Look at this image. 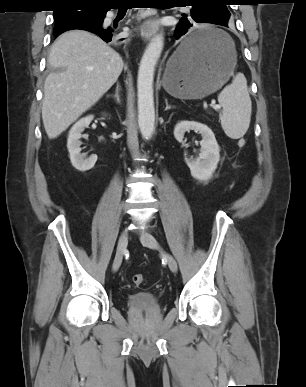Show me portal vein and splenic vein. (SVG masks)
Returning a JSON list of instances; mask_svg holds the SVG:
<instances>
[{"mask_svg": "<svg viewBox=\"0 0 306 387\" xmlns=\"http://www.w3.org/2000/svg\"><path fill=\"white\" fill-rule=\"evenodd\" d=\"M212 107L215 109V110H220L221 109V106L220 105H216L214 103H212Z\"/></svg>", "mask_w": 306, "mask_h": 387, "instance_id": "obj_1", "label": "portal vein and splenic vein"}]
</instances>
